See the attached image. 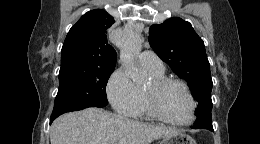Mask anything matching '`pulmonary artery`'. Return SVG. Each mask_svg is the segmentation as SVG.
<instances>
[{"instance_id":"pulmonary-artery-1","label":"pulmonary artery","mask_w":260,"mask_h":144,"mask_svg":"<svg viewBox=\"0 0 260 144\" xmlns=\"http://www.w3.org/2000/svg\"><path fill=\"white\" fill-rule=\"evenodd\" d=\"M140 63L144 68L156 72H164V65L159 56L150 50H145L140 55Z\"/></svg>"}]
</instances>
